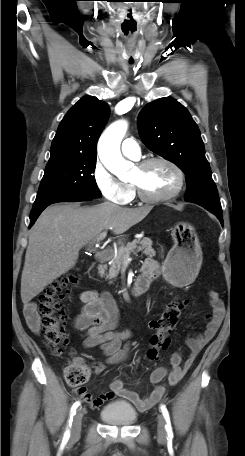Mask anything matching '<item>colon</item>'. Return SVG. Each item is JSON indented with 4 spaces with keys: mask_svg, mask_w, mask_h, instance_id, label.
Here are the masks:
<instances>
[{
    "mask_svg": "<svg viewBox=\"0 0 245 456\" xmlns=\"http://www.w3.org/2000/svg\"><path fill=\"white\" fill-rule=\"evenodd\" d=\"M77 282L78 277L74 273H66L49 284L39 297L44 340L55 355H61L68 345L69 338L64 327L66 313L63 300ZM183 306L184 301L175 299L165 307L158 318L150 322L153 334L147 351L149 360H157L160 351L168 347L170 333L176 326ZM89 377L90 368L80 359H75L64 369V380L72 387L82 386Z\"/></svg>",
    "mask_w": 245,
    "mask_h": 456,
    "instance_id": "obj_1",
    "label": "colon"
}]
</instances>
